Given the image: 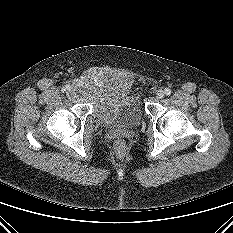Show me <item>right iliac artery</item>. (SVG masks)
Masks as SVG:
<instances>
[{
	"label": "right iliac artery",
	"mask_w": 233,
	"mask_h": 233,
	"mask_svg": "<svg viewBox=\"0 0 233 233\" xmlns=\"http://www.w3.org/2000/svg\"><path fill=\"white\" fill-rule=\"evenodd\" d=\"M68 89H69V86L66 85L65 87H62L61 91H62V92H65V91L68 90Z\"/></svg>",
	"instance_id": "82829eb1"
}]
</instances>
